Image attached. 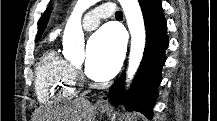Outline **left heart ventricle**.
<instances>
[{
	"instance_id": "b2bd125f",
	"label": "left heart ventricle",
	"mask_w": 217,
	"mask_h": 121,
	"mask_svg": "<svg viewBox=\"0 0 217 121\" xmlns=\"http://www.w3.org/2000/svg\"><path fill=\"white\" fill-rule=\"evenodd\" d=\"M77 67H81L82 66V62H79L76 64Z\"/></svg>"
}]
</instances>
